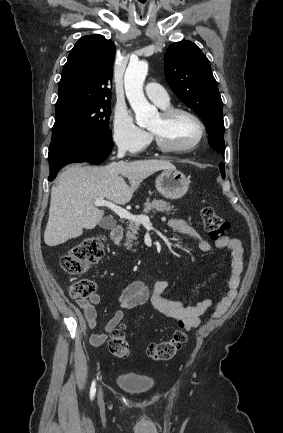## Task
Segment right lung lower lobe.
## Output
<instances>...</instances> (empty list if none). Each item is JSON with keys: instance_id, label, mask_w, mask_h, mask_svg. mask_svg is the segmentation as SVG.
Here are the masks:
<instances>
[{"instance_id": "obj_1", "label": "right lung lower lobe", "mask_w": 283, "mask_h": 433, "mask_svg": "<svg viewBox=\"0 0 283 433\" xmlns=\"http://www.w3.org/2000/svg\"><path fill=\"white\" fill-rule=\"evenodd\" d=\"M112 147V140H102L84 133L52 134L48 155L49 180L52 181L58 171L70 163H102L110 154Z\"/></svg>"}]
</instances>
